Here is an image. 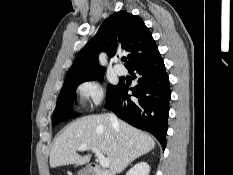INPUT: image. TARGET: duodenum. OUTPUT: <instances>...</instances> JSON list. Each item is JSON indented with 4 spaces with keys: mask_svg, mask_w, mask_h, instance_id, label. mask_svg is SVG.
Listing matches in <instances>:
<instances>
[{
    "mask_svg": "<svg viewBox=\"0 0 233 175\" xmlns=\"http://www.w3.org/2000/svg\"><path fill=\"white\" fill-rule=\"evenodd\" d=\"M86 175H109L108 172L96 164L90 165L86 169Z\"/></svg>",
    "mask_w": 233,
    "mask_h": 175,
    "instance_id": "410a0bca",
    "label": "duodenum"
}]
</instances>
